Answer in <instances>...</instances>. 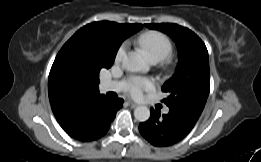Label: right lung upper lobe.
Instances as JSON below:
<instances>
[{
  "mask_svg": "<svg viewBox=\"0 0 261 162\" xmlns=\"http://www.w3.org/2000/svg\"><path fill=\"white\" fill-rule=\"evenodd\" d=\"M141 24H118L110 21H100L90 23L79 29L72 38L82 35L89 29L115 28L123 32L127 37L139 31ZM49 100L52 111L58 121L65 119L71 112L89 103L94 98L100 96L98 86L91 87L73 94H58L48 86Z\"/></svg>",
  "mask_w": 261,
  "mask_h": 162,
  "instance_id": "right-lung-upper-lobe-1",
  "label": "right lung upper lobe"
}]
</instances>
